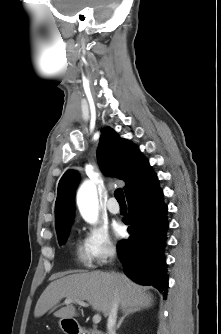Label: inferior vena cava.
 <instances>
[{"mask_svg":"<svg viewBox=\"0 0 221 334\" xmlns=\"http://www.w3.org/2000/svg\"><path fill=\"white\" fill-rule=\"evenodd\" d=\"M115 249H111L110 256L111 259L115 256ZM117 311H118V303L115 302L110 310L107 320V328L109 334H115V326H116V319H117Z\"/></svg>","mask_w":221,"mask_h":334,"instance_id":"1","label":"inferior vena cava"}]
</instances>
